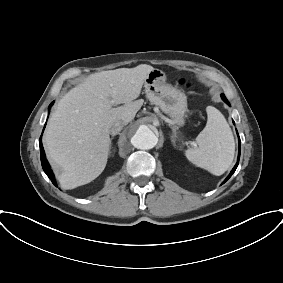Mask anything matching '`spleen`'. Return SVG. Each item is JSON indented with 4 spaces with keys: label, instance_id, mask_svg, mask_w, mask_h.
Segmentation results:
<instances>
[{
    "label": "spleen",
    "instance_id": "obj_1",
    "mask_svg": "<svg viewBox=\"0 0 283 283\" xmlns=\"http://www.w3.org/2000/svg\"><path fill=\"white\" fill-rule=\"evenodd\" d=\"M207 123L196 138L197 147L185 151L187 159L213 175L225 173L234 159V137L223 114L215 107L208 106Z\"/></svg>",
    "mask_w": 283,
    "mask_h": 283
}]
</instances>
